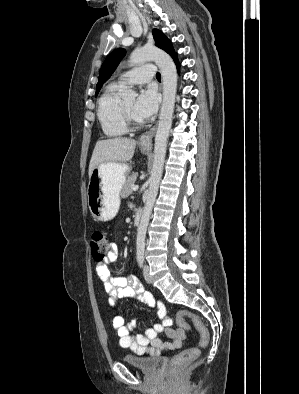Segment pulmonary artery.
<instances>
[{"mask_svg": "<svg viewBox=\"0 0 299 394\" xmlns=\"http://www.w3.org/2000/svg\"><path fill=\"white\" fill-rule=\"evenodd\" d=\"M155 70L154 65L144 64L123 74L119 78L118 83L123 87L146 83L155 76Z\"/></svg>", "mask_w": 299, "mask_h": 394, "instance_id": "1", "label": "pulmonary artery"}]
</instances>
